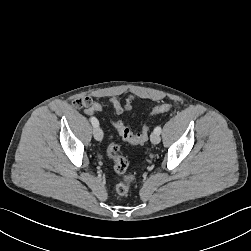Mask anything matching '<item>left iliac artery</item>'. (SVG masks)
<instances>
[{
	"mask_svg": "<svg viewBox=\"0 0 251 251\" xmlns=\"http://www.w3.org/2000/svg\"><path fill=\"white\" fill-rule=\"evenodd\" d=\"M161 126H157L155 129H154V132L160 134L161 133Z\"/></svg>",
	"mask_w": 251,
	"mask_h": 251,
	"instance_id": "1",
	"label": "left iliac artery"
}]
</instances>
